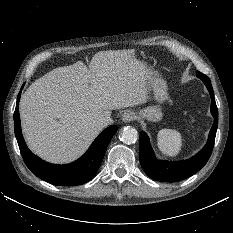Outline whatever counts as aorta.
Returning <instances> with one entry per match:
<instances>
[{"mask_svg": "<svg viewBox=\"0 0 233 233\" xmlns=\"http://www.w3.org/2000/svg\"><path fill=\"white\" fill-rule=\"evenodd\" d=\"M138 139V132L135 128L127 126L124 127L120 133V140L125 144H133Z\"/></svg>", "mask_w": 233, "mask_h": 233, "instance_id": "762f6f07", "label": "aorta"}]
</instances>
